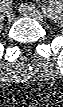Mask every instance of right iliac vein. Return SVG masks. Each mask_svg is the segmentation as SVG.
<instances>
[{"label": "right iliac vein", "instance_id": "1", "mask_svg": "<svg viewBox=\"0 0 63 107\" xmlns=\"http://www.w3.org/2000/svg\"><path fill=\"white\" fill-rule=\"evenodd\" d=\"M6 16H7V19L9 21H12L14 19V12L12 11V9H8L7 12H6Z\"/></svg>", "mask_w": 63, "mask_h": 107}]
</instances>
